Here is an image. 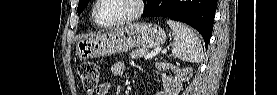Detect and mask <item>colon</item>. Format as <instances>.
Returning a JSON list of instances; mask_svg holds the SVG:
<instances>
[{
	"label": "colon",
	"instance_id": "obj_1",
	"mask_svg": "<svg viewBox=\"0 0 277 95\" xmlns=\"http://www.w3.org/2000/svg\"><path fill=\"white\" fill-rule=\"evenodd\" d=\"M78 75L80 77L83 89L87 94H94L98 89L99 70L94 62H84L78 66Z\"/></svg>",
	"mask_w": 277,
	"mask_h": 95
}]
</instances>
